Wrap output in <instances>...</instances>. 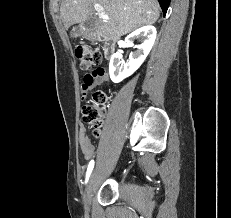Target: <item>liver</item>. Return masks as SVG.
<instances>
[{"label":"liver","mask_w":231,"mask_h":218,"mask_svg":"<svg viewBox=\"0 0 231 218\" xmlns=\"http://www.w3.org/2000/svg\"><path fill=\"white\" fill-rule=\"evenodd\" d=\"M94 4H100L108 16V19L99 16L95 28L100 35L111 39L154 24L160 15L156 0H63L60 16L65 29L87 20Z\"/></svg>","instance_id":"obj_1"}]
</instances>
